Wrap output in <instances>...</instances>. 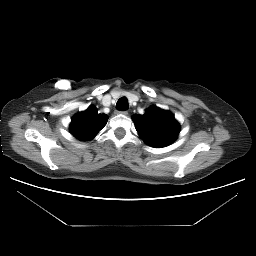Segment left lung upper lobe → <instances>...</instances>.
Returning <instances> with one entry per match:
<instances>
[{"mask_svg":"<svg viewBox=\"0 0 256 256\" xmlns=\"http://www.w3.org/2000/svg\"><path fill=\"white\" fill-rule=\"evenodd\" d=\"M132 120L139 136L150 146L164 147L178 136L180 127L174 116L157 106L148 108L144 115H134Z\"/></svg>","mask_w":256,"mask_h":256,"instance_id":"5c2ea615","label":"left lung upper lobe"}]
</instances>
